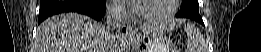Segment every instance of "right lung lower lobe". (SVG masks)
<instances>
[{"label":"right lung lower lobe","instance_id":"98d812e1","mask_svg":"<svg viewBox=\"0 0 261 52\" xmlns=\"http://www.w3.org/2000/svg\"><path fill=\"white\" fill-rule=\"evenodd\" d=\"M106 11L105 0H41L38 23L63 12H77L99 21Z\"/></svg>","mask_w":261,"mask_h":52}]
</instances>
